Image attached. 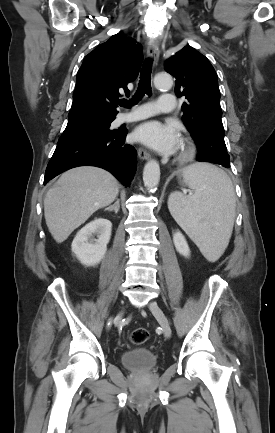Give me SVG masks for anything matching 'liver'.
Masks as SVG:
<instances>
[{"mask_svg": "<svg viewBox=\"0 0 275 433\" xmlns=\"http://www.w3.org/2000/svg\"><path fill=\"white\" fill-rule=\"evenodd\" d=\"M119 193L108 171L82 166L63 173L44 199V216L57 243L64 242L95 211L110 205Z\"/></svg>", "mask_w": 275, "mask_h": 433, "instance_id": "6515ba94", "label": "liver"}]
</instances>
